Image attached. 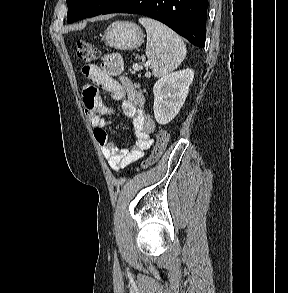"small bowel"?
<instances>
[{"label": "small bowel", "mask_w": 288, "mask_h": 293, "mask_svg": "<svg viewBox=\"0 0 288 293\" xmlns=\"http://www.w3.org/2000/svg\"><path fill=\"white\" fill-rule=\"evenodd\" d=\"M122 70L123 62L118 55L107 56L102 67L86 65L82 69L83 74L94 84L83 90L85 114L94 128V136L103 156L113 171L138 160L152 146L150 135L155 130L154 120L144 109V93L139 85L122 75ZM96 86L110 93L113 100L120 104L124 116L131 120L136 136L131 149L120 148L109 138L105 129L109 121L105 116L113 111L103 103Z\"/></svg>", "instance_id": "1"}]
</instances>
